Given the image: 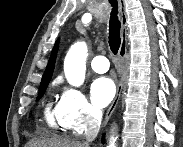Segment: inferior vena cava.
Here are the masks:
<instances>
[{
  "label": "inferior vena cava",
  "mask_w": 183,
  "mask_h": 147,
  "mask_svg": "<svg viewBox=\"0 0 183 147\" xmlns=\"http://www.w3.org/2000/svg\"><path fill=\"white\" fill-rule=\"evenodd\" d=\"M102 119V112L99 109L93 111V120L85 130L86 144L92 142L98 135Z\"/></svg>",
  "instance_id": "602c4592"
}]
</instances>
